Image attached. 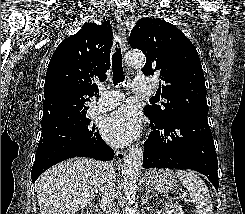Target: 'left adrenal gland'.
Returning a JSON list of instances; mask_svg holds the SVG:
<instances>
[{
    "label": "left adrenal gland",
    "mask_w": 245,
    "mask_h": 214,
    "mask_svg": "<svg viewBox=\"0 0 245 214\" xmlns=\"http://www.w3.org/2000/svg\"><path fill=\"white\" fill-rule=\"evenodd\" d=\"M150 192H152L155 196H157V194L152 189H150L149 185L147 184L146 185V194H149Z\"/></svg>",
    "instance_id": "a2214340"
}]
</instances>
